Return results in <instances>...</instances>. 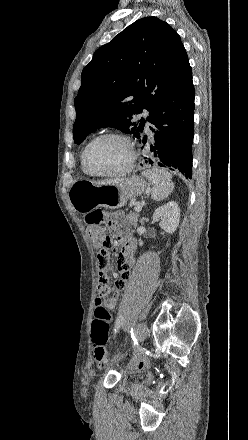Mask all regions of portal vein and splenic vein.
<instances>
[{
    "instance_id": "obj_1",
    "label": "portal vein and splenic vein",
    "mask_w": 248,
    "mask_h": 440,
    "mask_svg": "<svg viewBox=\"0 0 248 440\" xmlns=\"http://www.w3.org/2000/svg\"><path fill=\"white\" fill-rule=\"evenodd\" d=\"M141 210H142V205L139 204V203H136V205H135V211H136V212H140Z\"/></svg>"
}]
</instances>
